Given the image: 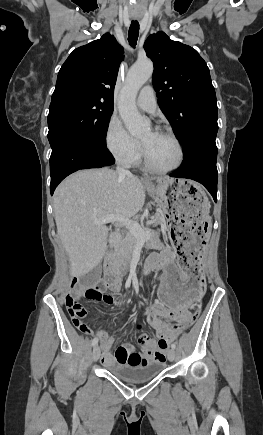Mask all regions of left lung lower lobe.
I'll list each match as a JSON object with an SVG mask.
<instances>
[{"label":"left lung lower lobe","instance_id":"0a47b994","mask_svg":"<svg viewBox=\"0 0 263 435\" xmlns=\"http://www.w3.org/2000/svg\"><path fill=\"white\" fill-rule=\"evenodd\" d=\"M216 137H205L191 143L184 150L181 168L171 177L189 178L203 184L217 202Z\"/></svg>","mask_w":263,"mask_h":435}]
</instances>
